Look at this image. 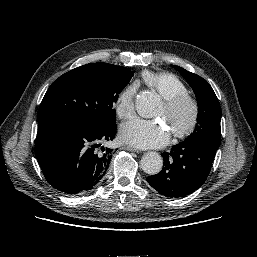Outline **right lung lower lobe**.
<instances>
[{
  "label": "right lung lower lobe",
  "mask_w": 257,
  "mask_h": 257,
  "mask_svg": "<svg viewBox=\"0 0 257 257\" xmlns=\"http://www.w3.org/2000/svg\"><path fill=\"white\" fill-rule=\"evenodd\" d=\"M116 123L96 125L76 117H54L39 122L36 158L46 180L67 194L93 188L106 173L112 149L102 142L113 140Z\"/></svg>",
  "instance_id": "obj_1"
}]
</instances>
